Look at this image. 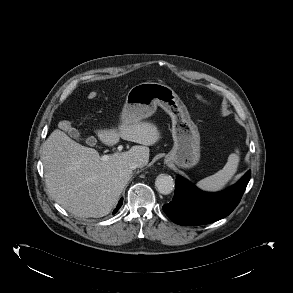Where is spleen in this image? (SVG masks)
<instances>
[{
    "label": "spleen",
    "instance_id": "obj_1",
    "mask_svg": "<svg viewBox=\"0 0 293 293\" xmlns=\"http://www.w3.org/2000/svg\"><path fill=\"white\" fill-rule=\"evenodd\" d=\"M239 161V151L236 150V153L229 155L228 161L222 170L200 180L197 186L202 190L213 192L223 189L237 172Z\"/></svg>",
    "mask_w": 293,
    "mask_h": 293
}]
</instances>
